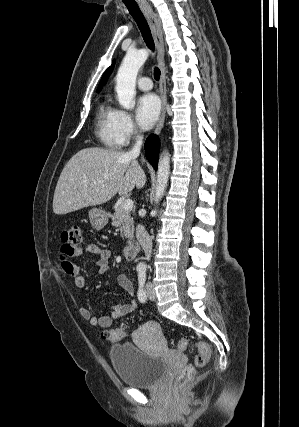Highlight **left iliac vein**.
<instances>
[{"label": "left iliac vein", "mask_w": 299, "mask_h": 427, "mask_svg": "<svg viewBox=\"0 0 299 427\" xmlns=\"http://www.w3.org/2000/svg\"><path fill=\"white\" fill-rule=\"evenodd\" d=\"M146 294L150 300H152V301L155 300L156 294H155V291H154V288H153V285L151 282H148L146 285Z\"/></svg>", "instance_id": "left-iliac-vein-1"}]
</instances>
